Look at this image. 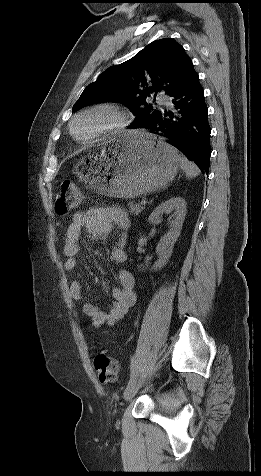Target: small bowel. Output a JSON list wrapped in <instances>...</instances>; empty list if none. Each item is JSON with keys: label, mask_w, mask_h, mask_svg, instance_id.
Listing matches in <instances>:
<instances>
[{"label": "small bowel", "mask_w": 261, "mask_h": 476, "mask_svg": "<svg viewBox=\"0 0 261 476\" xmlns=\"http://www.w3.org/2000/svg\"><path fill=\"white\" fill-rule=\"evenodd\" d=\"M130 226L131 221L128 214L115 206L91 208L86 212L76 213L66 233L65 269L72 271L78 266L80 242L84 232L95 239H105L114 229H117L118 233L110 256L111 260L116 263L124 262L128 242L127 233ZM117 280L118 285L111 290L112 303L107 312L93 303L84 302L82 305L84 314L91 318L92 324L96 328L116 324L136 302L132 273L127 269H119ZM83 291L82 283L79 280H73L70 285L73 299L81 301Z\"/></svg>", "instance_id": "c3829d8e"}]
</instances>
